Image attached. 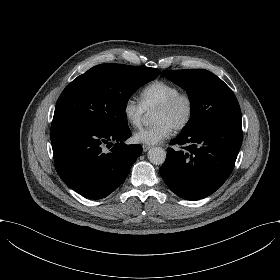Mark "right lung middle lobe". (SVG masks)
Segmentation results:
<instances>
[{
    "label": "right lung middle lobe",
    "instance_id": "right-lung-middle-lobe-1",
    "mask_svg": "<svg viewBox=\"0 0 280 280\" xmlns=\"http://www.w3.org/2000/svg\"><path fill=\"white\" fill-rule=\"evenodd\" d=\"M160 70L114 63L92 67L75 78L60 95L53 122L73 121L101 130L127 127L130 96L155 79Z\"/></svg>",
    "mask_w": 280,
    "mask_h": 280
}]
</instances>
